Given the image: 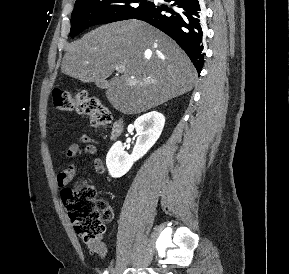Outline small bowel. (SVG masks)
Returning <instances> with one entry per match:
<instances>
[{
	"instance_id": "small-bowel-1",
	"label": "small bowel",
	"mask_w": 289,
	"mask_h": 274,
	"mask_svg": "<svg viewBox=\"0 0 289 274\" xmlns=\"http://www.w3.org/2000/svg\"><path fill=\"white\" fill-rule=\"evenodd\" d=\"M80 143H72L67 148L65 154L69 158H73L80 154H87L94 156L97 152V148L94 144V140L86 135L81 134L79 137ZM92 163L94 169L97 173L103 174L106 171V168L100 158L94 157L92 159ZM78 165L75 163L70 164L67 168H65L62 172H60L57 176V184L59 187H65L71 180L74 178L77 172ZM88 250L91 253L97 254L100 258H104L107 254L106 245L100 241H93L87 243Z\"/></svg>"
}]
</instances>
